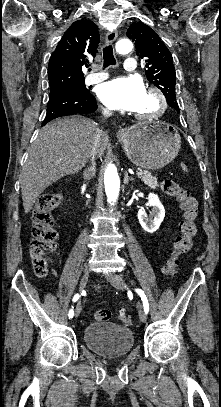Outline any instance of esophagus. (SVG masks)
I'll return each instance as SVG.
<instances>
[{
	"instance_id": "obj_1",
	"label": "esophagus",
	"mask_w": 221,
	"mask_h": 407,
	"mask_svg": "<svg viewBox=\"0 0 221 407\" xmlns=\"http://www.w3.org/2000/svg\"><path fill=\"white\" fill-rule=\"evenodd\" d=\"M117 35H118L117 30H112V31L107 32L106 37H105L106 44H111L117 38ZM124 132H125L124 129H119L116 132V135L118 137L123 136Z\"/></svg>"
}]
</instances>
